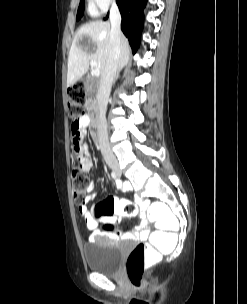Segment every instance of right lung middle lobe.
I'll return each mask as SVG.
<instances>
[{
  "mask_svg": "<svg viewBox=\"0 0 247 304\" xmlns=\"http://www.w3.org/2000/svg\"><path fill=\"white\" fill-rule=\"evenodd\" d=\"M84 12V0H80V5L77 12L76 20H79L83 16Z\"/></svg>",
  "mask_w": 247,
  "mask_h": 304,
  "instance_id": "right-lung-middle-lobe-1",
  "label": "right lung middle lobe"
}]
</instances>
